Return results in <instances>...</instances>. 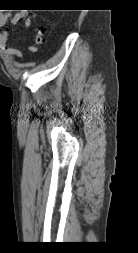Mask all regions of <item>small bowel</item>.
Returning a JSON list of instances; mask_svg holds the SVG:
<instances>
[{"label":"small bowel","mask_w":138,"mask_h":253,"mask_svg":"<svg viewBox=\"0 0 138 253\" xmlns=\"http://www.w3.org/2000/svg\"><path fill=\"white\" fill-rule=\"evenodd\" d=\"M10 20L12 25H16L20 21H23L24 26L29 28L31 26V19L25 12L16 13L11 17L9 12H0V28L6 27L8 21ZM10 42V32L7 29H3L0 31V48L4 50L5 54L8 56H15L19 59H22V53L15 49L9 47ZM28 49L30 51H34L33 46H29Z\"/></svg>","instance_id":"obj_1"}]
</instances>
